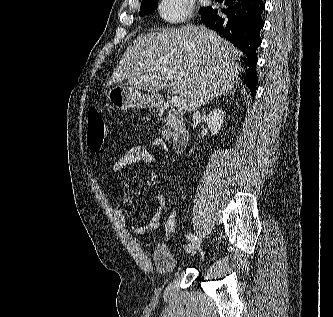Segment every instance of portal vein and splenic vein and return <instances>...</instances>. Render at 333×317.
Here are the masks:
<instances>
[{
  "instance_id": "18ae733b",
  "label": "portal vein and splenic vein",
  "mask_w": 333,
  "mask_h": 317,
  "mask_svg": "<svg viewBox=\"0 0 333 317\" xmlns=\"http://www.w3.org/2000/svg\"><path fill=\"white\" fill-rule=\"evenodd\" d=\"M171 103L172 105H174L175 107H180L182 104V99L180 96L178 95H174L171 99Z\"/></svg>"
}]
</instances>
